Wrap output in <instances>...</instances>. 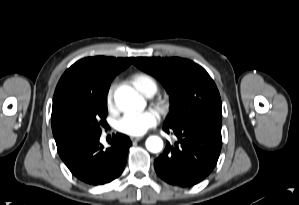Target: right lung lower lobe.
I'll use <instances>...</instances> for the list:
<instances>
[{"label": "right lung lower lobe", "mask_w": 299, "mask_h": 205, "mask_svg": "<svg viewBox=\"0 0 299 205\" xmlns=\"http://www.w3.org/2000/svg\"><path fill=\"white\" fill-rule=\"evenodd\" d=\"M101 133L86 136L58 151L71 173L89 185H103L118 178L125 167L131 141L126 135L113 136L111 146L99 143Z\"/></svg>", "instance_id": "right-lung-lower-lobe-1"}]
</instances>
